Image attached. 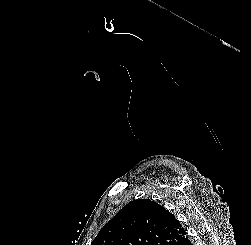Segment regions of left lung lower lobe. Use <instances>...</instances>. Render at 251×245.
Returning <instances> with one entry per match:
<instances>
[{"label": "left lung lower lobe", "instance_id": "obj_1", "mask_svg": "<svg viewBox=\"0 0 251 245\" xmlns=\"http://www.w3.org/2000/svg\"><path fill=\"white\" fill-rule=\"evenodd\" d=\"M175 245H192L188 236H187V233L185 234L184 237H182L181 239H179Z\"/></svg>", "mask_w": 251, "mask_h": 245}]
</instances>
